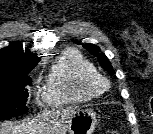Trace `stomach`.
Wrapping results in <instances>:
<instances>
[{"mask_svg":"<svg viewBox=\"0 0 153 134\" xmlns=\"http://www.w3.org/2000/svg\"><path fill=\"white\" fill-rule=\"evenodd\" d=\"M97 125L96 113L92 110H77L68 126V134H93Z\"/></svg>","mask_w":153,"mask_h":134,"instance_id":"1","label":"stomach"}]
</instances>
